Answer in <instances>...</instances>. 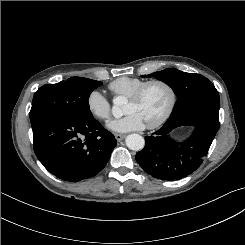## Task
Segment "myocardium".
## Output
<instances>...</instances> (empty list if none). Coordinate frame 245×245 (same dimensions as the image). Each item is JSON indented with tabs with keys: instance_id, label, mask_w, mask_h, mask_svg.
Wrapping results in <instances>:
<instances>
[{
	"instance_id": "f54148a6",
	"label": "myocardium",
	"mask_w": 245,
	"mask_h": 245,
	"mask_svg": "<svg viewBox=\"0 0 245 245\" xmlns=\"http://www.w3.org/2000/svg\"><path fill=\"white\" fill-rule=\"evenodd\" d=\"M153 85H160L168 91L169 104L165 112L162 114V116L159 119L146 125L147 129H155L162 126L172 115L177 103V92L174 86L169 82L161 79H153V80L146 81L140 87H138L130 96H128V100L132 102L139 101L143 97L146 90Z\"/></svg>"
}]
</instances>
